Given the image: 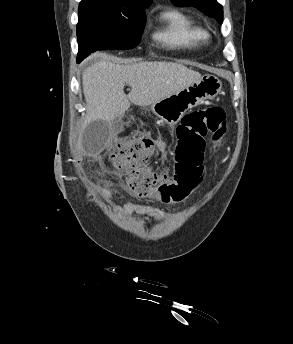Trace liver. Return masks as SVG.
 Instances as JSON below:
<instances>
[{"instance_id":"liver-1","label":"liver","mask_w":293,"mask_h":344,"mask_svg":"<svg viewBox=\"0 0 293 344\" xmlns=\"http://www.w3.org/2000/svg\"><path fill=\"white\" fill-rule=\"evenodd\" d=\"M200 78L199 72L173 62L131 65L96 62L82 74L87 122L104 120L109 123L123 115L130 103L152 105L182 91ZM125 84L132 88L128 95L123 91Z\"/></svg>"}]
</instances>
